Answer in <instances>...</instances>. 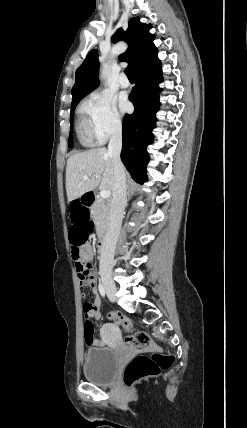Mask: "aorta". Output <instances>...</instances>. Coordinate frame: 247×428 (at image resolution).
Returning a JSON list of instances; mask_svg holds the SVG:
<instances>
[{"mask_svg":"<svg viewBox=\"0 0 247 428\" xmlns=\"http://www.w3.org/2000/svg\"><path fill=\"white\" fill-rule=\"evenodd\" d=\"M116 53H117L116 51H112L113 55H115ZM107 71H108V66L104 65L103 68L101 69V72H100V79L101 80H105L106 79Z\"/></svg>","mask_w":247,"mask_h":428,"instance_id":"obj_1","label":"aorta"}]
</instances>
